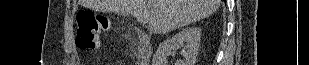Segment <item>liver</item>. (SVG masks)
Here are the masks:
<instances>
[{"mask_svg":"<svg viewBox=\"0 0 309 65\" xmlns=\"http://www.w3.org/2000/svg\"><path fill=\"white\" fill-rule=\"evenodd\" d=\"M94 11L126 13L149 24L156 33H167L214 13L220 0H82Z\"/></svg>","mask_w":309,"mask_h":65,"instance_id":"liver-1","label":"liver"}]
</instances>
